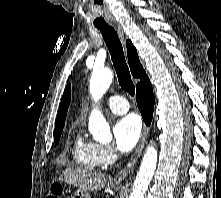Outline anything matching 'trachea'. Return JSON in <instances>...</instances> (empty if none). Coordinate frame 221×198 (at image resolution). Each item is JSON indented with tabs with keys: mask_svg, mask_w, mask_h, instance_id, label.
Instances as JSON below:
<instances>
[{
	"mask_svg": "<svg viewBox=\"0 0 221 198\" xmlns=\"http://www.w3.org/2000/svg\"><path fill=\"white\" fill-rule=\"evenodd\" d=\"M103 39L110 51L111 59L115 67L119 84L124 91L134 96L135 86L131 79L130 71L125 60L123 47L113 27H98Z\"/></svg>",
	"mask_w": 221,
	"mask_h": 198,
	"instance_id": "1",
	"label": "trachea"
}]
</instances>
